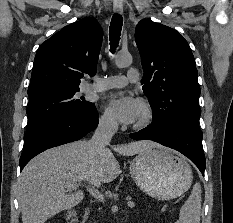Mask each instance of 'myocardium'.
Segmentation results:
<instances>
[{"label":"myocardium","instance_id":"f54148a6","mask_svg":"<svg viewBox=\"0 0 233 223\" xmlns=\"http://www.w3.org/2000/svg\"><path fill=\"white\" fill-rule=\"evenodd\" d=\"M143 117L140 121H137L134 124V129L138 131H144L150 128L156 120V114L154 109L151 107L149 103L143 101Z\"/></svg>","mask_w":233,"mask_h":223}]
</instances>
